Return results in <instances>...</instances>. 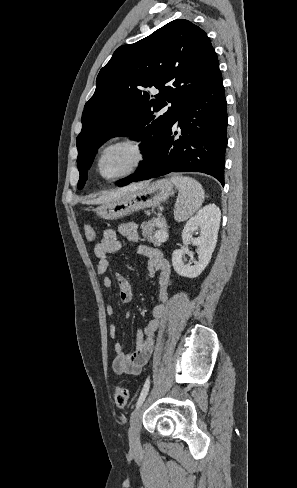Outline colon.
<instances>
[{
  "label": "colon",
  "instance_id": "1",
  "mask_svg": "<svg viewBox=\"0 0 297 488\" xmlns=\"http://www.w3.org/2000/svg\"><path fill=\"white\" fill-rule=\"evenodd\" d=\"M85 237L90 243H94L96 239V233L90 225L84 227ZM129 399V391L123 386H117L114 391V400L119 408L126 406Z\"/></svg>",
  "mask_w": 297,
  "mask_h": 488
}]
</instances>
